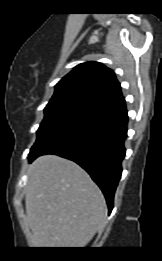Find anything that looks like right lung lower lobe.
<instances>
[{"label":"right lung lower lobe","mask_w":162,"mask_h":261,"mask_svg":"<svg viewBox=\"0 0 162 261\" xmlns=\"http://www.w3.org/2000/svg\"><path fill=\"white\" fill-rule=\"evenodd\" d=\"M128 115L123 98L103 105L64 125L29 154V162L55 154L85 169L102 190L109 213L121 178Z\"/></svg>","instance_id":"right-lung-lower-lobe-1"}]
</instances>
